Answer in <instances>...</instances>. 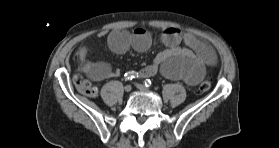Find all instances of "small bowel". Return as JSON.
Returning <instances> with one entry per match:
<instances>
[{
	"label": "small bowel",
	"mask_w": 279,
	"mask_h": 148,
	"mask_svg": "<svg viewBox=\"0 0 279 148\" xmlns=\"http://www.w3.org/2000/svg\"><path fill=\"white\" fill-rule=\"evenodd\" d=\"M161 39L167 49L139 71L140 77H152L161 72L169 79L195 85L203 78L207 67L217 63L213 48L193 33L167 27L162 31ZM151 43V34L144 28H137L132 32L117 29L108 35L110 49L118 54L125 53L130 48L144 52L150 48ZM88 53L89 47L83 46L78 51V58L81 70L90 79L102 81L119 74V70L113 69L108 63L88 62Z\"/></svg>",
	"instance_id": "small-bowel-1"
}]
</instances>
